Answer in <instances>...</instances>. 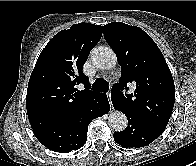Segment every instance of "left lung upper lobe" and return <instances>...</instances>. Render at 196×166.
<instances>
[{
  "label": "left lung upper lobe",
  "instance_id": "obj_1",
  "mask_svg": "<svg viewBox=\"0 0 196 166\" xmlns=\"http://www.w3.org/2000/svg\"><path fill=\"white\" fill-rule=\"evenodd\" d=\"M104 36L122 71L111 91L114 108L165 128L174 107L175 86L160 49L141 28L121 22L105 25ZM130 83L136 85L134 94L121 93Z\"/></svg>",
  "mask_w": 196,
  "mask_h": 166
}]
</instances>
